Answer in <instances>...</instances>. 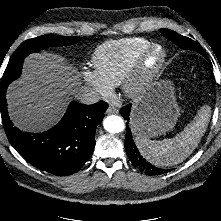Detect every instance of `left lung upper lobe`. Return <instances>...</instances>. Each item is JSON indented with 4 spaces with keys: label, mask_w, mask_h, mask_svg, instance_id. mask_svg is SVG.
Returning a JSON list of instances; mask_svg holds the SVG:
<instances>
[{
    "label": "left lung upper lobe",
    "mask_w": 221,
    "mask_h": 221,
    "mask_svg": "<svg viewBox=\"0 0 221 221\" xmlns=\"http://www.w3.org/2000/svg\"><path fill=\"white\" fill-rule=\"evenodd\" d=\"M160 32L168 39L185 50H194L205 56L203 49L195 41L188 37L182 36L169 29H160Z\"/></svg>",
    "instance_id": "1"
}]
</instances>
